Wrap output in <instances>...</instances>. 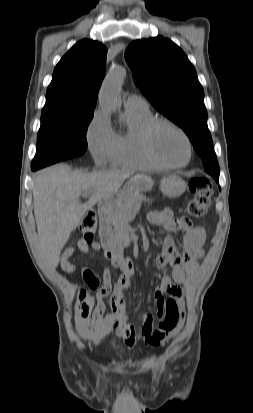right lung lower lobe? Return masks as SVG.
Segmentation results:
<instances>
[{
    "label": "right lung lower lobe",
    "instance_id": "1",
    "mask_svg": "<svg viewBox=\"0 0 253 413\" xmlns=\"http://www.w3.org/2000/svg\"><path fill=\"white\" fill-rule=\"evenodd\" d=\"M33 171H35V170H37V169H35V168H31Z\"/></svg>",
    "mask_w": 253,
    "mask_h": 413
}]
</instances>
